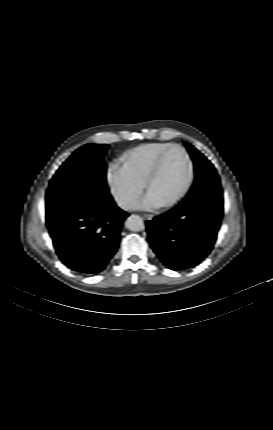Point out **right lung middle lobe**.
<instances>
[{
  "label": "right lung middle lobe",
  "mask_w": 273,
  "mask_h": 430,
  "mask_svg": "<svg viewBox=\"0 0 273 430\" xmlns=\"http://www.w3.org/2000/svg\"><path fill=\"white\" fill-rule=\"evenodd\" d=\"M107 144H87L76 150L52 178L46 193V212L69 204L110 198L104 156Z\"/></svg>",
  "instance_id": "right-lung-middle-lobe-1"
}]
</instances>
